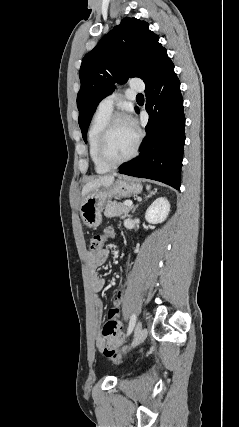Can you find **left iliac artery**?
Segmentation results:
<instances>
[{"instance_id": "44dca946", "label": "left iliac artery", "mask_w": 239, "mask_h": 427, "mask_svg": "<svg viewBox=\"0 0 239 427\" xmlns=\"http://www.w3.org/2000/svg\"><path fill=\"white\" fill-rule=\"evenodd\" d=\"M136 319H137L136 314H132V316L130 318V322H129V327H128L127 335H129L132 332V330H133V328L135 326V323H136Z\"/></svg>"}]
</instances>
